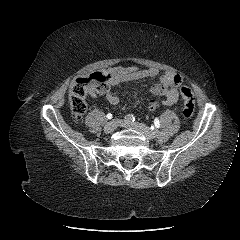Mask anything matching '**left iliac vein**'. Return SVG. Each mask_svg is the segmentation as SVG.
Segmentation results:
<instances>
[{
  "label": "left iliac vein",
  "instance_id": "obj_1",
  "mask_svg": "<svg viewBox=\"0 0 240 240\" xmlns=\"http://www.w3.org/2000/svg\"><path fill=\"white\" fill-rule=\"evenodd\" d=\"M123 127L126 128H131L133 130L138 131L139 133H141L143 136H145L147 139L151 140L155 138V134L150 130V128L142 123H138V122H123L121 124Z\"/></svg>",
  "mask_w": 240,
  "mask_h": 240
}]
</instances>
